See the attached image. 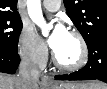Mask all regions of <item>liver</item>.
<instances>
[{
    "mask_svg": "<svg viewBox=\"0 0 107 89\" xmlns=\"http://www.w3.org/2000/svg\"><path fill=\"white\" fill-rule=\"evenodd\" d=\"M38 83V82H37ZM34 84L30 89H39L38 84ZM80 85L81 89H106V85L100 82H91ZM21 83L17 76L0 75V89H20Z\"/></svg>",
    "mask_w": 107,
    "mask_h": 89,
    "instance_id": "obj_1",
    "label": "liver"
}]
</instances>
